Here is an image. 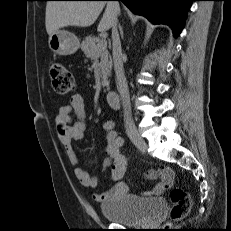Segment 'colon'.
Wrapping results in <instances>:
<instances>
[{
  "label": "colon",
  "mask_w": 231,
  "mask_h": 231,
  "mask_svg": "<svg viewBox=\"0 0 231 231\" xmlns=\"http://www.w3.org/2000/svg\"><path fill=\"white\" fill-rule=\"evenodd\" d=\"M50 79L55 92L59 95H68L75 89V80L71 72L60 62H54L50 66ZM155 173H149V178L155 177ZM172 202L171 218L178 220L185 217L190 208L189 195L181 188H174L170 193Z\"/></svg>",
  "instance_id": "colon-1"
}]
</instances>
